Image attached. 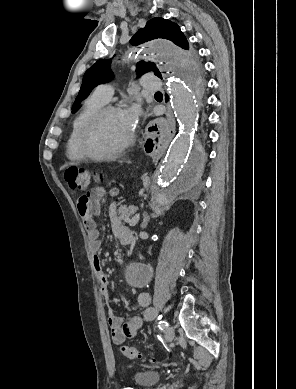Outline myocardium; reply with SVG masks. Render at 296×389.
I'll use <instances>...</instances> for the list:
<instances>
[{
    "mask_svg": "<svg viewBox=\"0 0 296 389\" xmlns=\"http://www.w3.org/2000/svg\"><path fill=\"white\" fill-rule=\"evenodd\" d=\"M117 112L125 111L121 107L107 105L99 109L87 121L80 136V149L85 157L94 160L115 157L122 154L133 144L135 140V130L132 128L130 136L120 146L107 151H96L93 149L91 141L97 125L106 115Z\"/></svg>",
    "mask_w": 296,
    "mask_h": 389,
    "instance_id": "1",
    "label": "myocardium"
}]
</instances>
